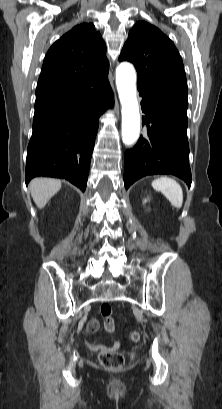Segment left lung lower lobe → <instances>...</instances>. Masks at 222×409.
<instances>
[{"instance_id":"0a47b994","label":"left lung lower lobe","mask_w":222,"mask_h":409,"mask_svg":"<svg viewBox=\"0 0 222 409\" xmlns=\"http://www.w3.org/2000/svg\"><path fill=\"white\" fill-rule=\"evenodd\" d=\"M142 124L147 137L140 136L133 149L124 155L125 188L139 178L153 174H172L191 185L187 106L185 100H163L154 95H140Z\"/></svg>"}]
</instances>
